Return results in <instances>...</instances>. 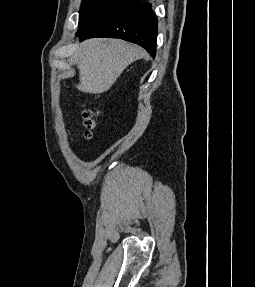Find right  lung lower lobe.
Masks as SVG:
<instances>
[{
  "label": "right lung lower lobe",
  "mask_w": 255,
  "mask_h": 287,
  "mask_svg": "<svg viewBox=\"0 0 255 287\" xmlns=\"http://www.w3.org/2000/svg\"><path fill=\"white\" fill-rule=\"evenodd\" d=\"M138 2L126 5L94 24L86 31L77 33L80 39L91 37L121 38L142 46L152 57L156 53L157 17L150 4Z\"/></svg>",
  "instance_id": "1"
}]
</instances>
